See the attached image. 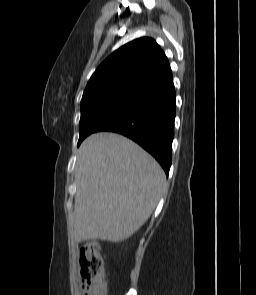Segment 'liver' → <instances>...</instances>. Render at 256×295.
<instances>
[{"label": "liver", "instance_id": "6515ba94", "mask_svg": "<svg viewBox=\"0 0 256 295\" xmlns=\"http://www.w3.org/2000/svg\"><path fill=\"white\" fill-rule=\"evenodd\" d=\"M75 184L74 241L119 242L148 220L164 192L166 175L136 143L104 132L81 144Z\"/></svg>", "mask_w": 256, "mask_h": 295}]
</instances>
